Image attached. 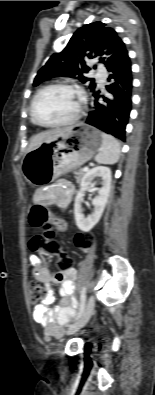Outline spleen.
I'll list each match as a JSON object with an SVG mask.
<instances>
[{
	"mask_svg": "<svg viewBox=\"0 0 155 395\" xmlns=\"http://www.w3.org/2000/svg\"><path fill=\"white\" fill-rule=\"evenodd\" d=\"M102 145L95 156V161L99 164H115L120 157V144L113 136L102 133Z\"/></svg>",
	"mask_w": 155,
	"mask_h": 395,
	"instance_id": "obj_1",
	"label": "spleen"
}]
</instances>
